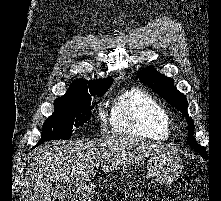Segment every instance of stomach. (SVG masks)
<instances>
[{
	"label": "stomach",
	"instance_id": "stomach-1",
	"mask_svg": "<svg viewBox=\"0 0 221 201\" xmlns=\"http://www.w3.org/2000/svg\"><path fill=\"white\" fill-rule=\"evenodd\" d=\"M182 162L175 151L159 152L149 156L147 170L153 180L171 184L182 172Z\"/></svg>",
	"mask_w": 221,
	"mask_h": 201
}]
</instances>
